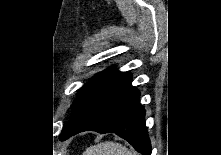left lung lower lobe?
Returning <instances> with one entry per match:
<instances>
[{"label":"left lung lower lobe","instance_id":"0a47b994","mask_svg":"<svg viewBox=\"0 0 221 155\" xmlns=\"http://www.w3.org/2000/svg\"><path fill=\"white\" fill-rule=\"evenodd\" d=\"M131 75L114 71L91 93L76 119L61 135L65 140L79 132L93 130L115 133L142 155H151L139 91L131 86Z\"/></svg>","mask_w":221,"mask_h":155}]
</instances>
